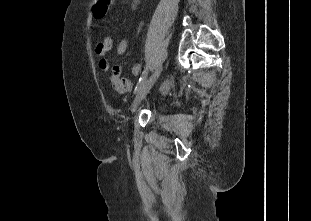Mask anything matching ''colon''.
Listing matches in <instances>:
<instances>
[{
	"label": "colon",
	"mask_w": 311,
	"mask_h": 221,
	"mask_svg": "<svg viewBox=\"0 0 311 221\" xmlns=\"http://www.w3.org/2000/svg\"><path fill=\"white\" fill-rule=\"evenodd\" d=\"M116 0H96L93 1L92 6H93V11H92V16L93 17H100L99 19L101 20V17H108L109 12L111 11V6L107 4H115ZM117 76H112L111 81L115 82V79Z\"/></svg>",
	"instance_id": "1"
}]
</instances>
